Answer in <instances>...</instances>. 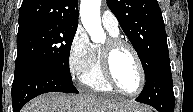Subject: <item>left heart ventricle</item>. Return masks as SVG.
<instances>
[{"label": "left heart ventricle", "mask_w": 193, "mask_h": 112, "mask_svg": "<svg viewBox=\"0 0 193 112\" xmlns=\"http://www.w3.org/2000/svg\"><path fill=\"white\" fill-rule=\"evenodd\" d=\"M112 71L120 87L127 92H135L140 84V74L136 60L128 48L118 49L112 57Z\"/></svg>", "instance_id": "left-heart-ventricle-1"}]
</instances>
